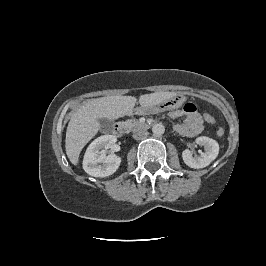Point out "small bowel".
<instances>
[{"label":"small bowel","instance_id":"small-bowel-1","mask_svg":"<svg viewBox=\"0 0 266 266\" xmlns=\"http://www.w3.org/2000/svg\"><path fill=\"white\" fill-rule=\"evenodd\" d=\"M171 119L185 117L183 123L175 125V130L182 136L193 137L203 129V121L194 103L188 102L181 109L174 110L169 114Z\"/></svg>","mask_w":266,"mask_h":266}]
</instances>
